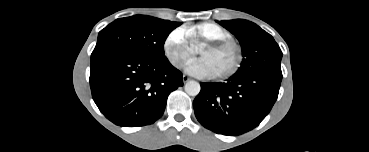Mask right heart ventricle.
I'll use <instances>...</instances> for the list:
<instances>
[{
  "label": "right heart ventricle",
  "instance_id": "1",
  "mask_svg": "<svg viewBox=\"0 0 369 152\" xmlns=\"http://www.w3.org/2000/svg\"><path fill=\"white\" fill-rule=\"evenodd\" d=\"M184 31L195 50L212 40L230 38V33L222 26L214 22H201L187 26Z\"/></svg>",
  "mask_w": 369,
  "mask_h": 152
}]
</instances>
